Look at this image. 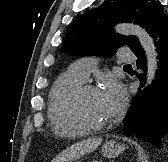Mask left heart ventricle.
<instances>
[{
	"instance_id": "left-heart-ventricle-1",
	"label": "left heart ventricle",
	"mask_w": 168,
	"mask_h": 162,
	"mask_svg": "<svg viewBox=\"0 0 168 162\" xmlns=\"http://www.w3.org/2000/svg\"><path fill=\"white\" fill-rule=\"evenodd\" d=\"M81 112L85 119L93 124L104 123L109 120L100 92H89L83 97Z\"/></svg>"
}]
</instances>
